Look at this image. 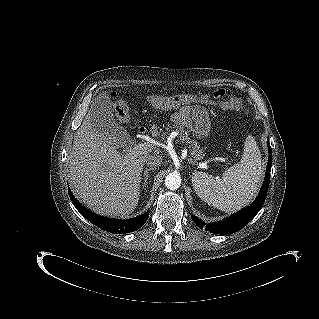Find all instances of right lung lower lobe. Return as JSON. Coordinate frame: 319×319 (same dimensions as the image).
Here are the masks:
<instances>
[{
  "instance_id": "98d812e1",
  "label": "right lung lower lobe",
  "mask_w": 319,
  "mask_h": 319,
  "mask_svg": "<svg viewBox=\"0 0 319 319\" xmlns=\"http://www.w3.org/2000/svg\"><path fill=\"white\" fill-rule=\"evenodd\" d=\"M69 195L74 206L88 221L101 228L102 230L110 233L124 234L135 231L144 225L149 216L148 210L145 214L129 220H118L102 217L83 207L80 202L75 199L70 190Z\"/></svg>"
}]
</instances>
